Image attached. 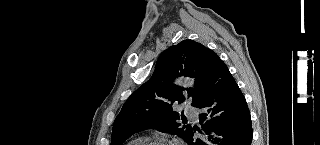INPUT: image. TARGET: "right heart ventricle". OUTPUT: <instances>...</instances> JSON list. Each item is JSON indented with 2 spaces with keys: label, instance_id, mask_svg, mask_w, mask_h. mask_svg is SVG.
Masks as SVG:
<instances>
[{
  "label": "right heart ventricle",
  "instance_id": "obj_1",
  "mask_svg": "<svg viewBox=\"0 0 320 145\" xmlns=\"http://www.w3.org/2000/svg\"><path fill=\"white\" fill-rule=\"evenodd\" d=\"M144 142L142 137H136L128 142L127 145H141Z\"/></svg>",
  "mask_w": 320,
  "mask_h": 145
}]
</instances>
